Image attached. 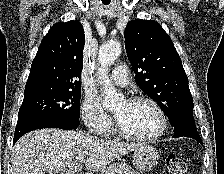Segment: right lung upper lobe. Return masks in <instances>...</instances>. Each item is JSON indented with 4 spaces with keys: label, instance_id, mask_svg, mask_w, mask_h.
Returning a JSON list of instances; mask_svg holds the SVG:
<instances>
[{
    "label": "right lung upper lobe",
    "instance_id": "cb5924a9",
    "mask_svg": "<svg viewBox=\"0 0 224 174\" xmlns=\"http://www.w3.org/2000/svg\"><path fill=\"white\" fill-rule=\"evenodd\" d=\"M85 44L78 21L59 22L42 40L32 62L24 94L44 90L81 89L80 78Z\"/></svg>",
    "mask_w": 224,
    "mask_h": 174
}]
</instances>
